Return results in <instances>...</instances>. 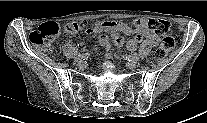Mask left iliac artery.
I'll return each mask as SVG.
<instances>
[{"mask_svg":"<svg viewBox=\"0 0 207 123\" xmlns=\"http://www.w3.org/2000/svg\"><path fill=\"white\" fill-rule=\"evenodd\" d=\"M129 61H132V62H137L139 60V56L138 54H133V55H130L127 57Z\"/></svg>","mask_w":207,"mask_h":123,"instance_id":"left-iliac-artery-1","label":"left iliac artery"}]
</instances>
